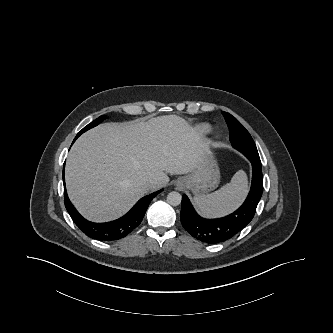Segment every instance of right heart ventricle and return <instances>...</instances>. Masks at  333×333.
<instances>
[{"label":"right heart ventricle","instance_id":"obj_1","mask_svg":"<svg viewBox=\"0 0 333 333\" xmlns=\"http://www.w3.org/2000/svg\"><path fill=\"white\" fill-rule=\"evenodd\" d=\"M199 129L201 132H208V126L207 125H200Z\"/></svg>","mask_w":333,"mask_h":333}]
</instances>
